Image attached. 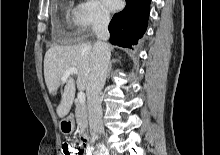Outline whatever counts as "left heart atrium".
<instances>
[{
	"label": "left heart atrium",
	"instance_id": "1",
	"mask_svg": "<svg viewBox=\"0 0 220 155\" xmlns=\"http://www.w3.org/2000/svg\"><path fill=\"white\" fill-rule=\"evenodd\" d=\"M102 2L110 11L117 10L122 4V0H102Z\"/></svg>",
	"mask_w": 220,
	"mask_h": 155
}]
</instances>
